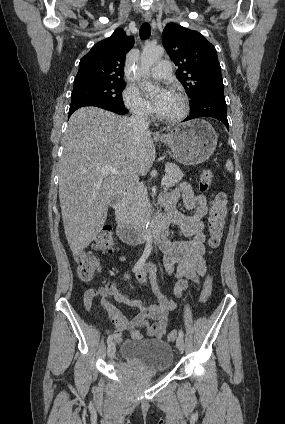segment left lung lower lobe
<instances>
[{"label":"left lung lower lobe","mask_w":285,"mask_h":424,"mask_svg":"<svg viewBox=\"0 0 285 424\" xmlns=\"http://www.w3.org/2000/svg\"><path fill=\"white\" fill-rule=\"evenodd\" d=\"M190 110V115L184 121L199 117H212L220 120L229 129L223 90L202 94L195 103L190 105Z\"/></svg>","instance_id":"obj_1"}]
</instances>
